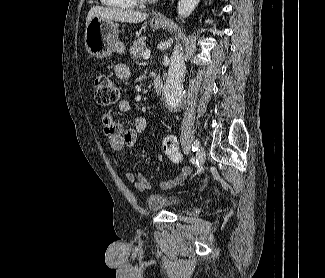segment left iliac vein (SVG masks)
I'll return each mask as SVG.
<instances>
[{
  "label": "left iliac vein",
  "mask_w": 325,
  "mask_h": 278,
  "mask_svg": "<svg viewBox=\"0 0 325 278\" xmlns=\"http://www.w3.org/2000/svg\"><path fill=\"white\" fill-rule=\"evenodd\" d=\"M196 159L200 165H202L206 159L205 150L202 147H199L196 152Z\"/></svg>",
  "instance_id": "obj_1"
}]
</instances>
